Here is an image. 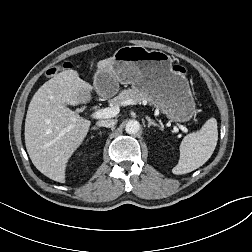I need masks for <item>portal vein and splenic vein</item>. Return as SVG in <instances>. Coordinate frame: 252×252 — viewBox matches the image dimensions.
Segmentation results:
<instances>
[{
  "instance_id": "1",
  "label": "portal vein and splenic vein",
  "mask_w": 252,
  "mask_h": 252,
  "mask_svg": "<svg viewBox=\"0 0 252 252\" xmlns=\"http://www.w3.org/2000/svg\"><path fill=\"white\" fill-rule=\"evenodd\" d=\"M134 102L135 101H133V100H126L125 102H123V104L129 105V104H134ZM118 113H119L118 106L107 107V108L95 111L92 114V117L95 119H105V118L115 117ZM179 128L185 133L189 132V129L186 128L185 126L179 125Z\"/></svg>"
}]
</instances>
